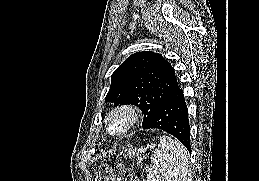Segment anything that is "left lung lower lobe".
<instances>
[{"label": "left lung lower lobe", "mask_w": 259, "mask_h": 181, "mask_svg": "<svg viewBox=\"0 0 259 181\" xmlns=\"http://www.w3.org/2000/svg\"><path fill=\"white\" fill-rule=\"evenodd\" d=\"M157 128L175 136L191 153L190 126L183 91L178 85L161 104L153 120L144 129Z\"/></svg>", "instance_id": "1"}]
</instances>
